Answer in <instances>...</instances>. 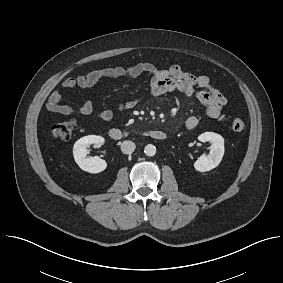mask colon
Returning <instances> with one entry per match:
<instances>
[{"instance_id":"colon-1","label":"colon","mask_w":283,"mask_h":283,"mask_svg":"<svg viewBox=\"0 0 283 283\" xmlns=\"http://www.w3.org/2000/svg\"><path fill=\"white\" fill-rule=\"evenodd\" d=\"M245 123L242 119H234L232 122V129L240 132L244 129ZM75 128V121L67 119L59 121L52 126V135L59 140H68L72 137Z\"/></svg>"}]
</instances>
